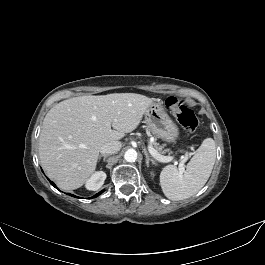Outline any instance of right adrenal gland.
Instances as JSON below:
<instances>
[{"instance_id":"2a0ac1e0","label":"right adrenal gland","mask_w":265,"mask_h":265,"mask_svg":"<svg viewBox=\"0 0 265 265\" xmlns=\"http://www.w3.org/2000/svg\"><path fill=\"white\" fill-rule=\"evenodd\" d=\"M102 157H103V162H105V160L108 157V155H100L99 156V161L101 160Z\"/></svg>"}]
</instances>
